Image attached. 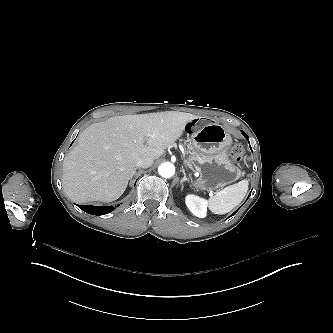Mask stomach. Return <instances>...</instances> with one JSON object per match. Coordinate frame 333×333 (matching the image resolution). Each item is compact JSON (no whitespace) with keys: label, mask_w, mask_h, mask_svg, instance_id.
Here are the masks:
<instances>
[{"label":"stomach","mask_w":333,"mask_h":333,"mask_svg":"<svg viewBox=\"0 0 333 333\" xmlns=\"http://www.w3.org/2000/svg\"><path fill=\"white\" fill-rule=\"evenodd\" d=\"M231 139L225 129L202 118L200 129L190 136L188 161L199 172L193 185L199 190H216L238 180L242 171L229 158Z\"/></svg>","instance_id":"stomach-1"}]
</instances>
